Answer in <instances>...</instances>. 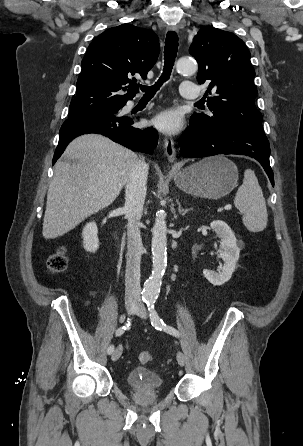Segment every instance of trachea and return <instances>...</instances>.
I'll use <instances>...</instances> for the list:
<instances>
[{"mask_svg": "<svg viewBox=\"0 0 303 446\" xmlns=\"http://www.w3.org/2000/svg\"><path fill=\"white\" fill-rule=\"evenodd\" d=\"M178 51V36L176 32L169 31L165 40L164 50V69L161 77L153 86H140L144 97H153L155 93L160 89L162 84L166 82L171 75V71L175 62L176 54Z\"/></svg>", "mask_w": 303, "mask_h": 446, "instance_id": "3493384b", "label": "trachea"}]
</instances>
